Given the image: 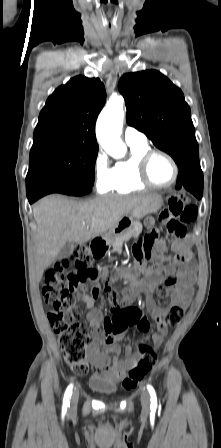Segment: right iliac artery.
<instances>
[{
    "label": "right iliac artery",
    "instance_id": "right-iliac-artery-1",
    "mask_svg": "<svg viewBox=\"0 0 221 448\" xmlns=\"http://www.w3.org/2000/svg\"><path fill=\"white\" fill-rule=\"evenodd\" d=\"M72 389H73V385L70 384L67 389L66 392L64 394V399H63V407H62V412H66L67 408L70 406V398L72 395Z\"/></svg>",
    "mask_w": 221,
    "mask_h": 448
}]
</instances>
